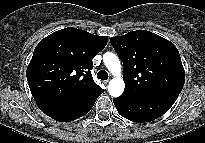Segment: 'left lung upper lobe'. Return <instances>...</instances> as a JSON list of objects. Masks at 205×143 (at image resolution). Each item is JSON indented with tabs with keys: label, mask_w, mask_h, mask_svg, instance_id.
<instances>
[{
	"label": "left lung upper lobe",
	"mask_w": 205,
	"mask_h": 143,
	"mask_svg": "<svg viewBox=\"0 0 205 143\" xmlns=\"http://www.w3.org/2000/svg\"><path fill=\"white\" fill-rule=\"evenodd\" d=\"M110 42L124 65L123 96L142 99L181 92L185 71L173 43L146 30L113 37Z\"/></svg>",
	"instance_id": "left-lung-upper-lobe-1"
}]
</instances>
